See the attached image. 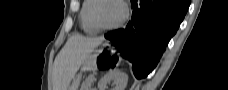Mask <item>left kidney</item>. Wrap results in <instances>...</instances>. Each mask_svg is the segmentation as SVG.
I'll list each match as a JSON object with an SVG mask.
<instances>
[{
    "label": "left kidney",
    "mask_w": 228,
    "mask_h": 90,
    "mask_svg": "<svg viewBox=\"0 0 228 90\" xmlns=\"http://www.w3.org/2000/svg\"><path fill=\"white\" fill-rule=\"evenodd\" d=\"M110 81H113V83L115 84L114 90H125L128 82V76L124 72H120V71H114V72L108 73L99 81L98 89L106 90L107 84Z\"/></svg>",
    "instance_id": "left-kidney-1"
}]
</instances>
